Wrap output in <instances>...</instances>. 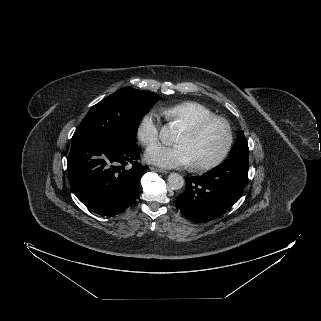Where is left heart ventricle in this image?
<instances>
[{"mask_svg": "<svg viewBox=\"0 0 321 321\" xmlns=\"http://www.w3.org/2000/svg\"><path fill=\"white\" fill-rule=\"evenodd\" d=\"M226 140V132L220 123H212L198 134H190L184 129L176 142L188 146L192 164L213 160L222 150Z\"/></svg>", "mask_w": 321, "mask_h": 321, "instance_id": "left-heart-ventricle-1", "label": "left heart ventricle"}]
</instances>
